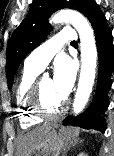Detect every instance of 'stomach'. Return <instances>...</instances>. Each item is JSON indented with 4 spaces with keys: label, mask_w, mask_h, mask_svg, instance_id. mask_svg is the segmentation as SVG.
<instances>
[{
    "label": "stomach",
    "mask_w": 114,
    "mask_h": 156,
    "mask_svg": "<svg viewBox=\"0 0 114 156\" xmlns=\"http://www.w3.org/2000/svg\"><path fill=\"white\" fill-rule=\"evenodd\" d=\"M79 129L54 124L43 141L29 156H59L67 144L77 140Z\"/></svg>",
    "instance_id": "obj_1"
}]
</instances>
